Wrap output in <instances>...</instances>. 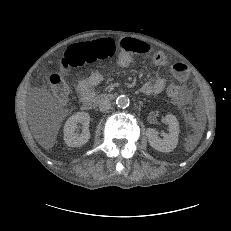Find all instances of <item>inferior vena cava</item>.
<instances>
[{
  "mask_svg": "<svg viewBox=\"0 0 231 231\" xmlns=\"http://www.w3.org/2000/svg\"><path fill=\"white\" fill-rule=\"evenodd\" d=\"M111 108V102L107 99L99 100V109L102 112H105Z\"/></svg>",
  "mask_w": 231,
  "mask_h": 231,
  "instance_id": "inferior-vena-cava-1",
  "label": "inferior vena cava"
}]
</instances>
